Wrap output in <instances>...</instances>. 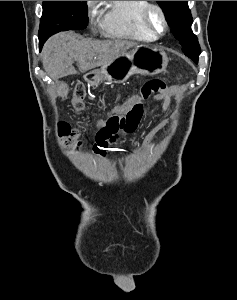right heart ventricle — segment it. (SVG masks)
Returning a JSON list of instances; mask_svg holds the SVG:
<instances>
[{
  "instance_id": "obj_1",
  "label": "right heart ventricle",
  "mask_w": 237,
  "mask_h": 300,
  "mask_svg": "<svg viewBox=\"0 0 237 300\" xmlns=\"http://www.w3.org/2000/svg\"><path fill=\"white\" fill-rule=\"evenodd\" d=\"M148 1H108L100 26L108 36L134 39H152L143 20V10Z\"/></svg>"
}]
</instances>
